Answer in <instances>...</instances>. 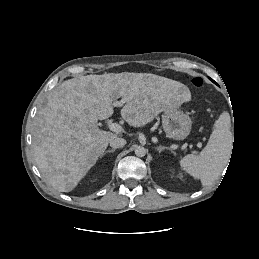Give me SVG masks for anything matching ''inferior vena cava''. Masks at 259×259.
<instances>
[{
  "instance_id": "obj_1",
  "label": "inferior vena cava",
  "mask_w": 259,
  "mask_h": 259,
  "mask_svg": "<svg viewBox=\"0 0 259 259\" xmlns=\"http://www.w3.org/2000/svg\"><path fill=\"white\" fill-rule=\"evenodd\" d=\"M109 143L113 148H121L126 144V140L121 137H114L110 139Z\"/></svg>"
}]
</instances>
